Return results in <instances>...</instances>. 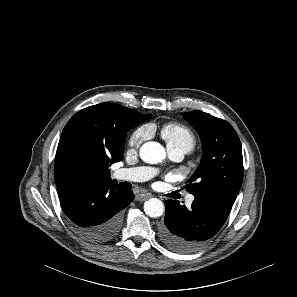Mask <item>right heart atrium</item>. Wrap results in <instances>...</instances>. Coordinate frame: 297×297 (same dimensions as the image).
<instances>
[{
	"label": "right heart atrium",
	"instance_id": "1",
	"mask_svg": "<svg viewBox=\"0 0 297 297\" xmlns=\"http://www.w3.org/2000/svg\"><path fill=\"white\" fill-rule=\"evenodd\" d=\"M149 131L146 127H141L135 130L129 139V145L131 148H138L141 143L146 139Z\"/></svg>",
	"mask_w": 297,
	"mask_h": 297
}]
</instances>
